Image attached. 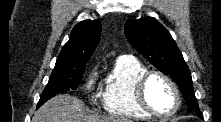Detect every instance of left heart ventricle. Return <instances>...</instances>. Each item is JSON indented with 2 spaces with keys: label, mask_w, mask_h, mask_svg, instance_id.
Here are the masks:
<instances>
[{
  "label": "left heart ventricle",
  "mask_w": 221,
  "mask_h": 122,
  "mask_svg": "<svg viewBox=\"0 0 221 122\" xmlns=\"http://www.w3.org/2000/svg\"><path fill=\"white\" fill-rule=\"evenodd\" d=\"M146 95L151 107L159 113H169L175 107L174 93L169 84L160 77L150 79Z\"/></svg>",
  "instance_id": "left-heart-ventricle-1"
}]
</instances>
